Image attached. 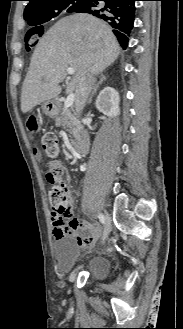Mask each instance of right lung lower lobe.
<instances>
[{
    "label": "right lung lower lobe",
    "mask_w": 183,
    "mask_h": 329,
    "mask_svg": "<svg viewBox=\"0 0 183 329\" xmlns=\"http://www.w3.org/2000/svg\"><path fill=\"white\" fill-rule=\"evenodd\" d=\"M135 1L137 0H83L74 12L88 13L106 21L114 28L113 32L120 45L126 48L134 23Z\"/></svg>",
    "instance_id": "obj_1"
}]
</instances>
